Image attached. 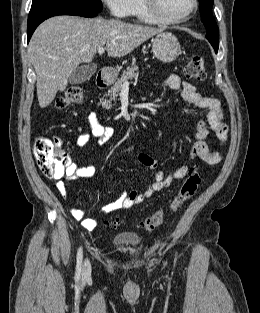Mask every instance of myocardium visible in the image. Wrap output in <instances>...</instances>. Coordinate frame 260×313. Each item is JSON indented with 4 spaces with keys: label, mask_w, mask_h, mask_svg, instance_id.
I'll return each mask as SVG.
<instances>
[{
    "label": "myocardium",
    "mask_w": 260,
    "mask_h": 313,
    "mask_svg": "<svg viewBox=\"0 0 260 313\" xmlns=\"http://www.w3.org/2000/svg\"><path fill=\"white\" fill-rule=\"evenodd\" d=\"M141 3L147 15L154 22L166 25L182 23L198 9V0H192V5L187 12L176 18H167L160 13L158 0H141Z\"/></svg>",
    "instance_id": "obj_1"
}]
</instances>
